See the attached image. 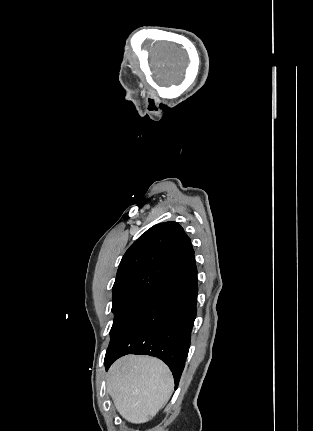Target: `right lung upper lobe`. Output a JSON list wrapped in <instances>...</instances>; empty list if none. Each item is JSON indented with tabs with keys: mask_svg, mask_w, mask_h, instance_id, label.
<instances>
[{
	"mask_svg": "<svg viewBox=\"0 0 313 431\" xmlns=\"http://www.w3.org/2000/svg\"><path fill=\"white\" fill-rule=\"evenodd\" d=\"M193 254L190 239L178 223L169 221L154 225L124 254L113 286V297L149 295Z\"/></svg>",
	"mask_w": 313,
	"mask_h": 431,
	"instance_id": "cb5924a9",
	"label": "right lung upper lobe"
}]
</instances>
